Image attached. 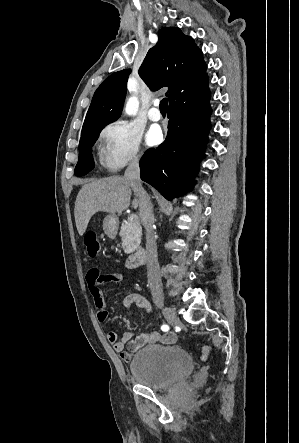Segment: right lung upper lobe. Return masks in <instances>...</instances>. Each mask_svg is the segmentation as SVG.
<instances>
[{
  "label": "right lung upper lobe",
  "instance_id": "cb5924a9",
  "mask_svg": "<svg viewBox=\"0 0 299 443\" xmlns=\"http://www.w3.org/2000/svg\"><path fill=\"white\" fill-rule=\"evenodd\" d=\"M205 70L202 52L193 39L185 36L178 28L165 27L159 32L157 44L148 51L139 75L153 91L169 87L166 96L170 102L205 76ZM129 73V69L115 72L99 86L87 112L81 135L119 118Z\"/></svg>",
  "mask_w": 299,
  "mask_h": 443
}]
</instances>
